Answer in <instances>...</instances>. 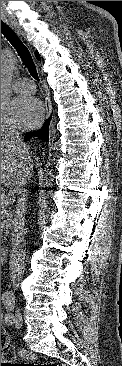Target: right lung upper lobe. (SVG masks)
<instances>
[{
	"label": "right lung upper lobe",
	"instance_id": "obj_1",
	"mask_svg": "<svg viewBox=\"0 0 122 366\" xmlns=\"http://www.w3.org/2000/svg\"><path fill=\"white\" fill-rule=\"evenodd\" d=\"M35 55H36V58L40 60L38 52H36Z\"/></svg>",
	"mask_w": 122,
	"mask_h": 366
}]
</instances>
